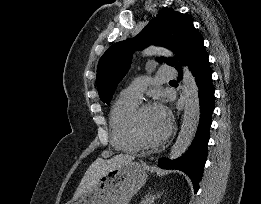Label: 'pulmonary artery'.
Listing matches in <instances>:
<instances>
[{"label":"pulmonary artery","instance_id":"obj_1","mask_svg":"<svg viewBox=\"0 0 261 204\" xmlns=\"http://www.w3.org/2000/svg\"><path fill=\"white\" fill-rule=\"evenodd\" d=\"M177 77V71L173 67H161L153 79L139 78L131 85L122 90L121 97L124 99L140 102L143 92L145 91L149 82L160 84L172 80Z\"/></svg>","mask_w":261,"mask_h":204}]
</instances>
